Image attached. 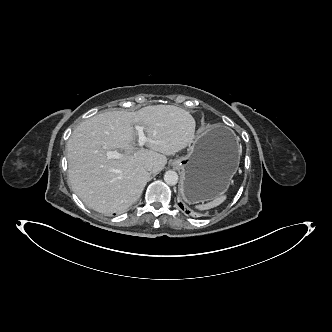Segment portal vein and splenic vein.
Masks as SVG:
<instances>
[{
  "label": "portal vein and splenic vein",
  "mask_w": 332,
  "mask_h": 332,
  "mask_svg": "<svg viewBox=\"0 0 332 332\" xmlns=\"http://www.w3.org/2000/svg\"><path fill=\"white\" fill-rule=\"evenodd\" d=\"M135 129L138 132V145L140 147H143L144 144L148 141V138L144 134V127L143 126H135ZM106 156L108 159H120L121 158V153L118 151H106Z\"/></svg>",
  "instance_id": "1"
}]
</instances>
